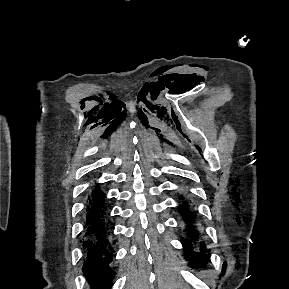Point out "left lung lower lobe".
Wrapping results in <instances>:
<instances>
[{
    "label": "left lung lower lobe",
    "mask_w": 289,
    "mask_h": 289,
    "mask_svg": "<svg viewBox=\"0 0 289 289\" xmlns=\"http://www.w3.org/2000/svg\"><path fill=\"white\" fill-rule=\"evenodd\" d=\"M180 199L182 200V205L179 207V212L183 216L187 235L181 239V242L184 246L186 256L190 260L189 264L199 268L207 262L206 253H209V251L204 244L197 249L198 227L193 223V214L190 211L189 201L184 197H180Z\"/></svg>",
    "instance_id": "left-lung-lower-lobe-1"
}]
</instances>
